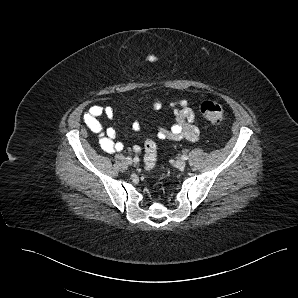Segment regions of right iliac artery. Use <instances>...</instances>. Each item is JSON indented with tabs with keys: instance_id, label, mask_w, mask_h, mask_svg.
<instances>
[{
	"instance_id": "1",
	"label": "right iliac artery",
	"mask_w": 298,
	"mask_h": 298,
	"mask_svg": "<svg viewBox=\"0 0 298 298\" xmlns=\"http://www.w3.org/2000/svg\"><path fill=\"white\" fill-rule=\"evenodd\" d=\"M134 162H139V158L138 157H134Z\"/></svg>"
}]
</instances>
